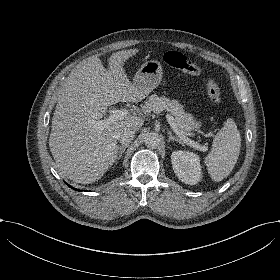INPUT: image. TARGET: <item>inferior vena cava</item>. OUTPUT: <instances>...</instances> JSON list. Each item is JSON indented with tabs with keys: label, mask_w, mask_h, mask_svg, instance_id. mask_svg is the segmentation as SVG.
I'll return each instance as SVG.
<instances>
[{
	"label": "inferior vena cava",
	"mask_w": 280,
	"mask_h": 280,
	"mask_svg": "<svg viewBox=\"0 0 280 280\" xmlns=\"http://www.w3.org/2000/svg\"><path fill=\"white\" fill-rule=\"evenodd\" d=\"M117 138L122 145H127L135 138V131L132 129H123L117 133Z\"/></svg>",
	"instance_id": "1"
}]
</instances>
